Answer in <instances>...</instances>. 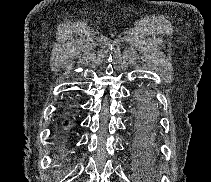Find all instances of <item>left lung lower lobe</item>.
I'll use <instances>...</instances> for the list:
<instances>
[{"label":"left lung lower lobe","instance_id":"1","mask_svg":"<svg viewBox=\"0 0 211 182\" xmlns=\"http://www.w3.org/2000/svg\"><path fill=\"white\" fill-rule=\"evenodd\" d=\"M137 99L141 119L150 127H154L157 123L158 114L152 94L148 90H142L138 92Z\"/></svg>","mask_w":211,"mask_h":182}]
</instances>
